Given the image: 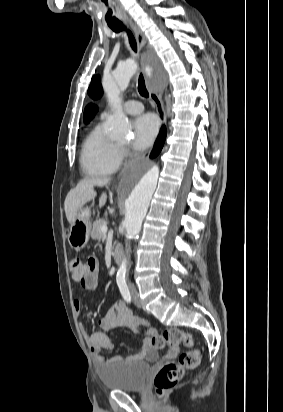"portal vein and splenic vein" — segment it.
<instances>
[{
  "instance_id": "obj_1",
  "label": "portal vein and splenic vein",
  "mask_w": 283,
  "mask_h": 412,
  "mask_svg": "<svg viewBox=\"0 0 283 412\" xmlns=\"http://www.w3.org/2000/svg\"><path fill=\"white\" fill-rule=\"evenodd\" d=\"M107 231H108L107 225H106V224L102 225V226H101V232H102V233H106Z\"/></svg>"
}]
</instances>
